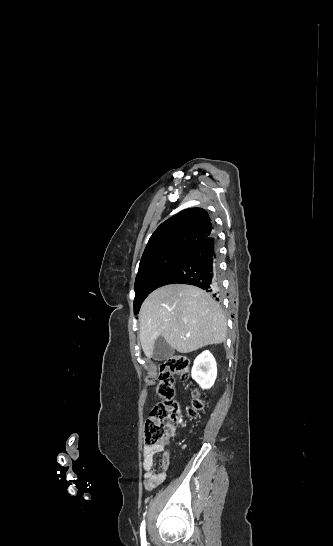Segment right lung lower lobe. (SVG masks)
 <instances>
[{
  "mask_svg": "<svg viewBox=\"0 0 333 546\" xmlns=\"http://www.w3.org/2000/svg\"><path fill=\"white\" fill-rule=\"evenodd\" d=\"M215 232L198 242L157 282L156 288L167 284H189L200 287L218 300L220 272L218 241Z\"/></svg>",
  "mask_w": 333,
  "mask_h": 546,
  "instance_id": "1",
  "label": "right lung lower lobe"
}]
</instances>
